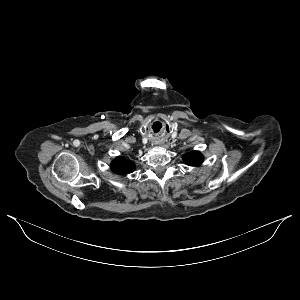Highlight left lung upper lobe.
<instances>
[{
  "label": "left lung upper lobe",
  "mask_w": 300,
  "mask_h": 300,
  "mask_svg": "<svg viewBox=\"0 0 300 300\" xmlns=\"http://www.w3.org/2000/svg\"><path fill=\"white\" fill-rule=\"evenodd\" d=\"M203 155L198 151H192L184 156V161L189 166H199L203 162Z\"/></svg>",
  "instance_id": "5c2ea615"
}]
</instances>
